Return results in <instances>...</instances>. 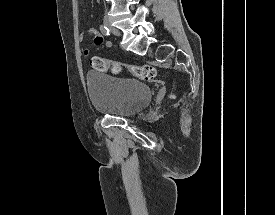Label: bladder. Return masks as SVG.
<instances>
[{"mask_svg":"<svg viewBox=\"0 0 275 215\" xmlns=\"http://www.w3.org/2000/svg\"><path fill=\"white\" fill-rule=\"evenodd\" d=\"M86 82L93 107L111 116L138 114L149 105L152 98L150 87L137 79L89 71Z\"/></svg>","mask_w":275,"mask_h":215,"instance_id":"31cf9c89","label":"bladder"}]
</instances>
